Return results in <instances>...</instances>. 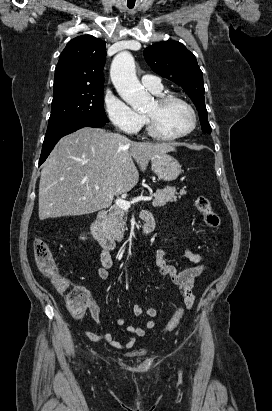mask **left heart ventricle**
I'll list each match as a JSON object with an SVG mask.
<instances>
[{
  "label": "left heart ventricle",
  "instance_id": "1",
  "mask_svg": "<svg viewBox=\"0 0 272 411\" xmlns=\"http://www.w3.org/2000/svg\"><path fill=\"white\" fill-rule=\"evenodd\" d=\"M144 112L152 116L159 129L168 135L180 134L192 124L190 111L180 103H173L161 108L154 100L145 108Z\"/></svg>",
  "mask_w": 272,
  "mask_h": 411
}]
</instances>
